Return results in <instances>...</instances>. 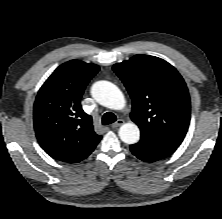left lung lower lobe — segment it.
Returning <instances> with one entry per match:
<instances>
[{
    "instance_id": "1",
    "label": "left lung lower lobe",
    "mask_w": 222,
    "mask_h": 219,
    "mask_svg": "<svg viewBox=\"0 0 222 219\" xmlns=\"http://www.w3.org/2000/svg\"><path fill=\"white\" fill-rule=\"evenodd\" d=\"M177 147L141 137L136 144L130 145L131 152L140 160L152 162L171 155Z\"/></svg>"
}]
</instances>
